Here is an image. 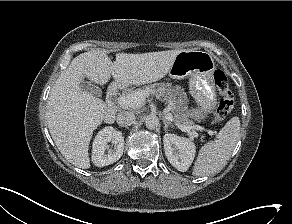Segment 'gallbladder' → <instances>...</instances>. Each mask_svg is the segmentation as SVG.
Returning <instances> with one entry per match:
<instances>
[{"mask_svg": "<svg viewBox=\"0 0 292 224\" xmlns=\"http://www.w3.org/2000/svg\"><path fill=\"white\" fill-rule=\"evenodd\" d=\"M80 88L83 91L89 92L91 94H94L95 96H101L103 93L101 91V88L96 87L94 85H92L91 83H88L86 81H82L80 83Z\"/></svg>", "mask_w": 292, "mask_h": 224, "instance_id": "obj_1", "label": "gallbladder"}]
</instances>
